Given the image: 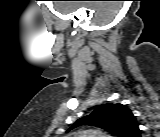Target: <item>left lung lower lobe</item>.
<instances>
[{
	"instance_id": "obj_1",
	"label": "left lung lower lobe",
	"mask_w": 160,
	"mask_h": 137,
	"mask_svg": "<svg viewBox=\"0 0 160 137\" xmlns=\"http://www.w3.org/2000/svg\"><path fill=\"white\" fill-rule=\"evenodd\" d=\"M130 137H140V130H139V128L135 129V130L131 133Z\"/></svg>"
}]
</instances>
